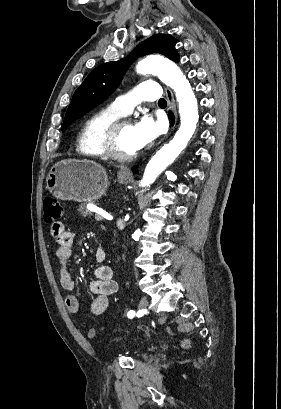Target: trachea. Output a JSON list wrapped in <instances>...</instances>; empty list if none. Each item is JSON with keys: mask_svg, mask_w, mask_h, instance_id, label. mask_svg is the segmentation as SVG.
Segmentation results:
<instances>
[{"mask_svg": "<svg viewBox=\"0 0 281 409\" xmlns=\"http://www.w3.org/2000/svg\"><path fill=\"white\" fill-rule=\"evenodd\" d=\"M158 104H164V105H167V102H166V100H165L164 98H160V100H159Z\"/></svg>", "mask_w": 281, "mask_h": 409, "instance_id": "obj_1", "label": "trachea"}]
</instances>
